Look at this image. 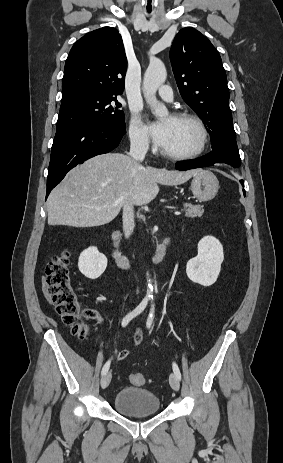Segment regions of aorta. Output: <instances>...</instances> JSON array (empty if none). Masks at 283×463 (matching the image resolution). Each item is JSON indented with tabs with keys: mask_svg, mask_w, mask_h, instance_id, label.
Here are the masks:
<instances>
[{
	"mask_svg": "<svg viewBox=\"0 0 283 463\" xmlns=\"http://www.w3.org/2000/svg\"><path fill=\"white\" fill-rule=\"evenodd\" d=\"M166 76L167 72L164 64L160 60H154L150 62L143 79L144 98L153 114L158 118H163L168 114L165 105L156 98L157 89L165 82ZM151 297H153V287L149 279L146 298Z\"/></svg>",
	"mask_w": 283,
	"mask_h": 463,
	"instance_id": "1",
	"label": "aorta"
}]
</instances>
